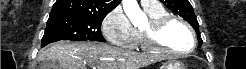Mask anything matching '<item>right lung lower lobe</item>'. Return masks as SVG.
Here are the masks:
<instances>
[{
    "instance_id": "right-lung-lower-lobe-1",
    "label": "right lung lower lobe",
    "mask_w": 246,
    "mask_h": 69,
    "mask_svg": "<svg viewBox=\"0 0 246 69\" xmlns=\"http://www.w3.org/2000/svg\"><path fill=\"white\" fill-rule=\"evenodd\" d=\"M46 45H47V44H42L41 47H44V46H46Z\"/></svg>"
}]
</instances>
